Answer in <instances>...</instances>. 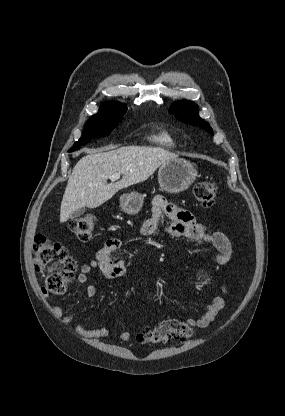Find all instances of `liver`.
Segmentation results:
<instances>
[{"instance_id": "obj_1", "label": "liver", "mask_w": 285, "mask_h": 416, "mask_svg": "<svg viewBox=\"0 0 285 416\" xmlns=\"http://www.w3.org/2000/svg\"><path fill=\"white\" fill-rule=\"evenodd\" d=\"M104 146L98 150L83 148L88 156L77 162L68 180L60 208V222H67L70 214L80 208H98L116 192L148 180L159 166L178 158L164 148L145 146ZM112 150V152H105ZM122 174V180L107 184L109 176Z\"/></svg>"}]
</instances>
